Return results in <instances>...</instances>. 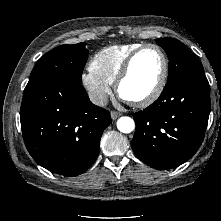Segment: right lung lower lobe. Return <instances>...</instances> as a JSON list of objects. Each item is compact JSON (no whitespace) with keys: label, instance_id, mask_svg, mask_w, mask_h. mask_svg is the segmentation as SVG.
I'll list each match as a JSON object with an SVG mask.
<instances>
[{"label":"right lung lower lobe","instance_id":"1","mask_svg":"<svg viewBox=\"0 0 221 221\" xmlns=\"http://www.w3.org/2000/svg\"><path fill=\"white\" fill-rule=\"evenodd\" d=\"M20 121L26 148L39 165L56 174L77 176L97 159L111 117L89 100L82 84L29 80Z\"/></svg>","mask_w":221,"mask_h":221}]
</instances>
